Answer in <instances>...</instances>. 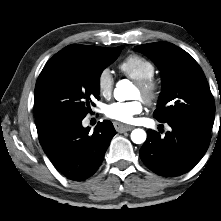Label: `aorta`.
Returning a JSON list of instances; mask_svg holds the SVG:
<instances>
[{"label":"aorta","mask_w":221,"mask_h":221,"mask_svg":"<svg viewBox=\"0 0 221 221\" xmlns=\"http://www.w3.org/2000/svg\"><path fill=\"white\" fill-rule=\"evenodd\" d=\"M133 89L134 86L129 80H120L117 82L116 88L114 89V97L117 101L129 100ZM131 140L135 144L144 143L146 140V132L143 129H134L131 133Z\"/></svg>","instance_id":"obj_1"}]
</instances>
